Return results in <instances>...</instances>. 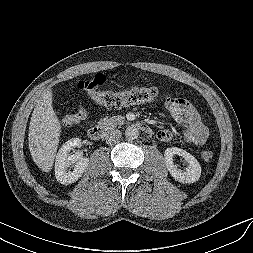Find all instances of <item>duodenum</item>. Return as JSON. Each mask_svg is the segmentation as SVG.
<instances>
[{
	"label": "duodenum",
	"mask_w": 253,
	"mask_h": 253,
	"mask_svg": "<svg viewBox=\"0 0 253 253\" xmlns=\"http://www.w3.org/2000/svg\"><path fill=\"white\" fill-rule=\"evenodd\" d=\"M133 125L145 134L151 135L153 133L152 128L144 122L136 121L133 123ZM106 131L107 129L104 125L95 124L89 129L88 134L91 139L100 140L101 138H103Z\"/></svg>",
	"instance_id": "duodenum-1"
}]
</instances>
